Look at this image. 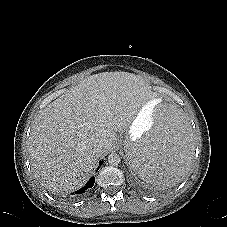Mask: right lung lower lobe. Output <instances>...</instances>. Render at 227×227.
<instances>
[{
    "instance_id": "1",
    "label": "right lung lower lobe",
    "mask_w": 227,
    "mask_h": 227,
    "mask_svg": "<svg viewBox=\"0 0 227 227\" xmlns=\"http://www.w3.org/2000/svg\"><path fill=\"white\" fill-rule=\"evenodd\" d=\"M102 163H103V161L100 162V164H102ZM94 182H95V178L91 177L90 180L88 181V183L83 188H81L80 190L76 191L74 194H76V196L79 195V194L80 195L83 194L87 189L93 187Z\"/></svg>"
}]
</instances>
